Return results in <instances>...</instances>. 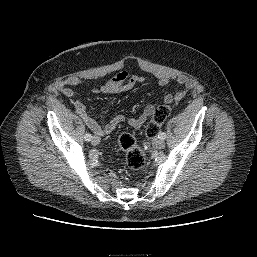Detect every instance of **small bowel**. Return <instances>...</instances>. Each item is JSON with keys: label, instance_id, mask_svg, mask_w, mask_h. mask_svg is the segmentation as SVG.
I'll list each match as a JSON object with an SVG mask.
<instances>
[{"label": "small bowel", "instance_id": "small-bowel-1", "mask_svg": "<svg viewBox=\"0 0 257 257\" xmlns=\"http://www.w3.org/2000/svg\"><path fill=\"white\" fill-rule=\"evenodd\" d=\"M158 84L163 86L166 85L170 81V77L166 74H160L157 76ZM144 78L138 74H130L127 71H120L115 74L112 78H110L106 83L101 85L100 87L94 89L96 93L103 94H113L126 91L137 84L143 83ZM176 82L182 86L179 90H177L174 94H167L164 97V102L167 104H171L173 102H177L182 100L187 93L194 88L195 82L191 78L186 75H179L176 78ZM82 84V80L78 77L72 76L68 77L65 80L59 83V90L69 98L74 97V92L70 88V86H78ZM74 106L77 114L82 118L87 127L97 136L103 137L107 134L111 133L120 123L127 122L129 126L132 128L138 129L140 128L147 119L154 113L155 107L154 105H147L142 113L135 118H126L123 115H117L109 120L106 124L102 125L96 119H94L87 107L80 100L74 101Z\"/></svg>", "mask_w": 257, "mask_h": 257}]
</instances>
